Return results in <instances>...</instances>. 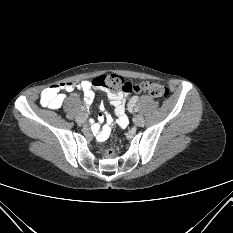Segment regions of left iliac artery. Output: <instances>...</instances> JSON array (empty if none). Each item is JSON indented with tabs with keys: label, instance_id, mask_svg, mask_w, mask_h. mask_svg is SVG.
I'll return each mask as SVG.
<instances>
[{
	"label": "left iliac artery",
	"instance_id": "44dca946",
	"mask_svg": "<svg viewBox=\"0 0 233 233\" xmlns=\"http://www.w3.org/2000/svg\"><path fill=\"white\" fill-rule=\"evenodd\" d=\"M132 99H133L134 102H136V101L138 100V97H137V96H134ZM134 111H135V112H138V111H139V108H138V107H135V108H134Z\"/></svg>",
	"mask_w": 233,
	"mask_h": 233
}]
</instances>
